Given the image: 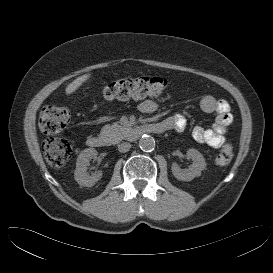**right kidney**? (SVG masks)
Segmentation results:
<instances>
[{
  "instance_id": "ca27d5eb",
  "label": "right kidney",
  "mask_w": 273,
  "mask_h": 273,
  "mask_svg": "<svg viewBox=\"0 0 273 273\" xmlns=\"http://www.w3.org/2000/svg\"><path fill=\"white\" fill-rule=\"evenodd\" d=\"M91 159H97V151L94 148L84 149L77 158L74 178L81 186L92 187L102 177V171H98L93 176L87 173Z\"/></svg>"
}]
</instances>
